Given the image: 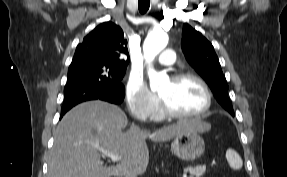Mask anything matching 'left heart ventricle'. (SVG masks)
I'll return each mask as SVG.
<instances>
[{"label":"left heart ventricle","mask_w":287,"mask_h":177,"mask_svg":"<svg viewBox=\"0 0 287 177\" xmlns=\"http://www.w3.org/2000/svg\"><path fill=\"white\" fill-rule=\"evenodd\" d=\"M158 94L173 111L184 114L199 112L206 101L202 88L192 80H170L160 88Z\"/></svg>","instance_id":"1"}]
</instances>
